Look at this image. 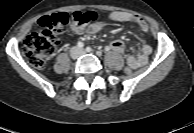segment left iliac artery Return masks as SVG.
I'll use <instances>...</instances> for the list:
<instances>
[{"label": "left iliac artery", "instance_id": "44dca946", "mask_svg": "<svg viewBox=\"0 0 194 133\" xmlns=\"http://www.w3.org/2000/svg\"><path fill=\"white\" fill-rule=\"evenodd\" d=\"M86 51H87V52H91V51H92L91 47H87V48H86Z\"/></svg>", "mask_w": 194, "mask_h": 133}]
</instances>
